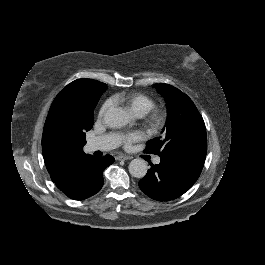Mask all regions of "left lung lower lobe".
Listing matches in <instances>:
<instances>
[{"label": "left lung lower lobe", "mask_w": 265, "mask_h": 265, "mask_svg": "<svg viewBox=\"0 0 265 265\" xmlns=\"http://www.w3.org/2000/svg\"><path fill=\"white\" fill-rule=\"evenodd\" d=\"M206 156L161 157L139 181L140 189L158 201L173 200L188 191L198 179Z\"/></svg>", "instance_id": "0a47b994"}]
</instances>
